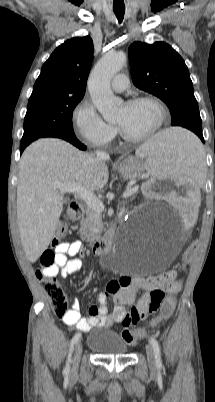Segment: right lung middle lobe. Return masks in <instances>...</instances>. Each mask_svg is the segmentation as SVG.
<instances>
[{
	"label": "right lung middle lobe",
	"instance_id": "dd1d6c3e",
	"mask_svg": "<svg viewBox=\"0 0 215 402\" xmlns=\"http://www.w3.org/2000/svg\"><path fill=\"white\" fill-rule=\"evenodd\" d=\"M82 98L52 94L31 96L20 145H29L43 137L65 138L74 135L72 113Z\"/></svg>",
	"mask_w": 215,
	"mask_h": 402
}]
</instances>
